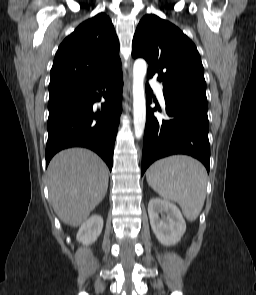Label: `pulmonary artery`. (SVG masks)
<instances>
[{
  "label": "pulmonary artery",
  "instance_id": "1",
  "mask_svg": "<svg viewBox=\"0 0 256 295\" xmlns=\"http://www.w3.org/2000/svg\"><path fill=\"white\" fill-rule=\"evenodd\" d=\"M150 84L153 87V89L156 91L157 96H158L160 102L162 104H164L165 103V100H164V94H163L162 86L156 80H154V79L150 80Z\"/></svg>",
  "mask_w": 256,
  "mask_h": 295
}]
</instances>
